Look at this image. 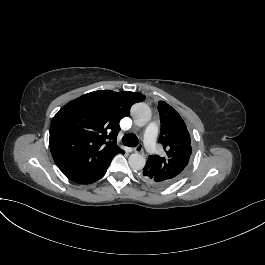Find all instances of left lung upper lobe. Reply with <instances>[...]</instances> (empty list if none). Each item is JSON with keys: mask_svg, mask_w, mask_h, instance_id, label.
Listing matches in <instances>:
<instances>
[{"mask_svg": "<svg viewBox=\"0 0 265 265\" xmlns=\"http://www.w3.org/2000/svg\"><path fill=\"white\" fill-rule=\"evenodd\" d=\"M158 111L161 122L159 142L166 155L149 156L144 168L158 184L166 186L177 181L184 173L192 153L191 138L175 109L166 102L159 101Z\"/></svg>", "mask_w": 265, "mask_h": 265, "instance_id": "1", "label": "left lung upper lobe"}]
</instances>
